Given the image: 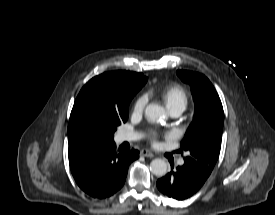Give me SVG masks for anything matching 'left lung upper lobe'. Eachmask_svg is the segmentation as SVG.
<instances>
[{
	"label": "left lung upper lobe",
	"instance_id": "obj_1",
	"mask_svg": "<svg viewBox=\"0 0 275 215\" xmlns=\"http://www.w3.org/2000/svg\"><path fill=\"white\" fill-rule=\"evenodd\" d=\"M177 75L191 86L195 104L194 119L181 142L188 152L184 163L211 173L221 148L224 112L211 82L202 74L178 70Z\"/></svg>",
	"mask_w": 275,
	"mask_h": 215
}]
</instances>
